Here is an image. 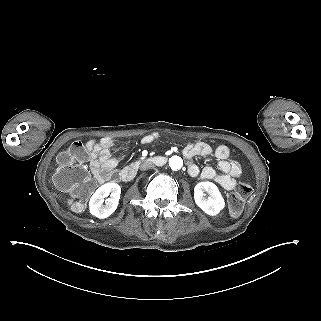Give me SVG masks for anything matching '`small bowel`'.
Returning <instances> with one entry per match:
<instances>
[{"label":"small bowel","instance_id":"small-bowel-1","mask_svg":"<svg viewBox=\"0 0 321 321\" xmlns=\"http://www.w3.org/2000/svg\"><path fill=\"white\" fill-rule=\"evenodd\" d=\"M158 138L157 133H151L142 138L143 144H150ZM88 151L89 168L94 178L103 183L117 176L116 166L123 151L116 147L115 141L110 137H104L99 142L90 140L86 143ZM118 151L119 155L113 156L112 151ZM214 154L217 158V169L205 167L202 170L193 163L188 162V173L192 177L199 176L204 180H213L226 190H233L236 187V179L241 175V164L230 159V152L227 146L219 145L214 150L206 142H196L187 145L184 149V156L191 159L195 156H208Z\"/></svg>","mask_w":321,"mask_h":321}]
</instances>
